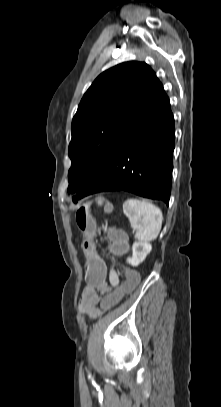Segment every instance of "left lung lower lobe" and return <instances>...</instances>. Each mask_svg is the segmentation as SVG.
I'll return each instance as SVG.
<instances>
[{
	"label": "left lung lower lobe",
	"mask_w": 221,
	"mask_h": 407,
	"mask_svg": "<svg viewBox=\"0 0 221 407\" xmlns=\"http://www.w3.org/2000/svg\"><path fill=\"white\" fill-rule=\"evenodd\" d=\"M174 148V118L160 83L126 128L106 166L73 201L124 190L168 205Z\"/></svg>",
	"instance_id": "left-lung-lower-lobe-1"
}]
</instances>
